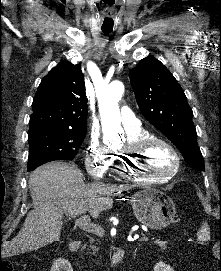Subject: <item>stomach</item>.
Returning a JSON list of instances; mask_svg holds the SVG:
<instances>
[{"mask_svg":"<svg viewBox=\"0 0 221 271\" xmlns=\"http://www.w3.org/2000/svg\"><path fill=\"white\" fill-rule=\"evenodd\" d=\"M131 205L136 219L151 229L167 227L172 223L176 213L171 197L161 191H150V189L135 191Z\"/></svg>","mask_w":221,"mask_h":271,"instance_id":"stomach-1","label":"stomach"}]
</instances>
